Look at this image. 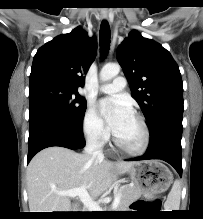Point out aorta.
Returning a JSON list of instances; mask_svg holds the SVG:
<instances>
[{
  "instance_id": "1",
  "label": "aorta",
  "mask_w": 203,
  "mask_h": 219,
  "mask_svg": "<svg viewBox=\"0 0 203 219\" xmlns=\"http://www.w3.org/2000/svg\"><path fill=\"white\" fill-rule=\"evenodd\" d=\"M120 72V65L113 63L105 65L100 71V79L103 82L109 81L116 77Z\"/></svg>"
}]
</instances>
